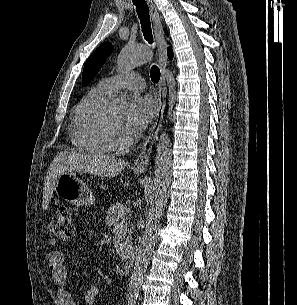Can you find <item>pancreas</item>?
Segmentation results:
<instances>
[{
	"mask_svg": "<svg viewBox=\"0 0 297 305\" xmlns=\"http://www.w3.org/2000/svg\"><path fill=\"white\" fill-rule=\"evenodd\" d=\"M124 206L121 203L113 204L105 213V222L108 226H113V233L116 234L120 231L121 235H124L128 230L127 223L125 222L126 213L124 211ZM131 232V231H130ZM132 237L131 235L124 239V249L125 253L131 246Z\"/></svg>",
	"mask_w": 297,
	"mask_h": 305,
	"instance_id": "obj_1",
	"label": "pancreas"
}]
</instances>
